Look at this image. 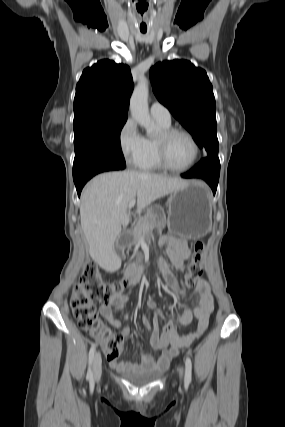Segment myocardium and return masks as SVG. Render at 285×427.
Instances as JSON below:
<instances>
[{"mask_svg": "<svg viewBox=\"0 0 285 427\" xmlns=\"http://www.w3.org/2000/svg\"><path fill=\"white\" fill-rule=\"evenodd\" d=\"M177 134L185 135L191 141L194 147V155L191 162L187 166L182 168H177L172 166L169 163L167 158L168 143L170 139ZM156 147H157V155H158L160 165L164 169L171 172H176V173H183L191 170L196 165L199 158V154H200V147L195 137L188 130L184 128H179V127H170L162 130L158 135V137L156 138Z\"/></svg>", "mask_w": 285, "mask_h": 427, "instance_id": "myocardium-1", "label": "myocardium"}]
</instances>
